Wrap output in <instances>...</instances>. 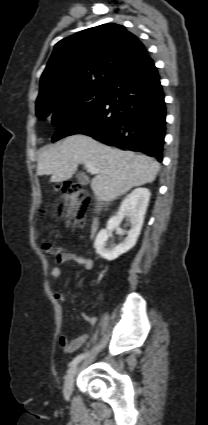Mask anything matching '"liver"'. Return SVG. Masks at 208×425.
I'll return each instance as SVG.
<instances>
[{"instance_id": "6515ba94", "label": "liver", "mask_w": 208, "mask_h": 425, "mask_svg": "<svg viewBox=\"0 0 208 425\" xmlns=\"http://www.w3.org/2000/svg\"><path fill=\"white\" fill-rule=\"evenodd\" d=\"M86 162L100 170L91 181V189L98 201L106 203L133 187L153 182L160 169V164L149 156L112 148L77 134L40 153L37 175H51V182L65 181L79 164Z\"/></svg>"}]
</instances>
